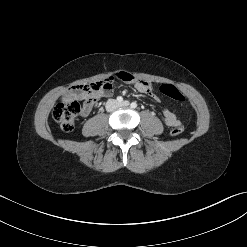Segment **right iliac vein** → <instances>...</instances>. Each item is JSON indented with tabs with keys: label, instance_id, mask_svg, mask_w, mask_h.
Wrapping results in <instances>:
<instances>
[{
	"label": "right iliac vein",
	"instance_id": "1",
	"mask_svg": "<svg viewBox=\"0 0 247 247\" xmlns=\"http://www.w3.org/2000/svg\"><path fill=\"white\" fill-rule=\"evenodd\" d=\"M115 106H116V102H115V101H111V102H110V107L113 108V107H115Z\"/></svg>",
	"mask_w": 247,
	"mask_h": 247
}]
</instances>
